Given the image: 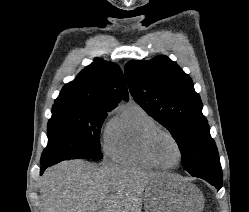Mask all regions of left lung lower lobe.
I'll return each mask as SVG.
<instances>
[{"mask_svg": "<svg viewBox=\"0 0 249 212\" xmlns=\"http://www.w3.org/2000/svg\"><path fill=\"white\" fill-rule=\"evenodd\" d=\"M192 176L206 180L211 185L215 186L217 190L222 187L223 178L221 170H208Z\"/></svg>", "mask_w": 249, "mask_h": 212, "instance_id": "1", "label": "left lung lower lobe"}]
</instances>
